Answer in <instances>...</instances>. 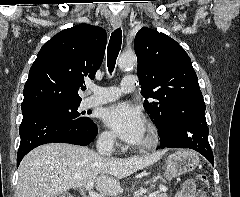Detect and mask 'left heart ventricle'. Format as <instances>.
Masks as SVG:
<instances>
[{"label":"left heart ventricle","instance_id":"1","mask_svg":"<svg viewBox=\"0 0 240 197\" xmlns=\"http://www.w3.org/2000/svg\"><path fill=\"white\" fill-rule=\"evenodd\" d=\"M145 139H146V131H145L143 137L141 138V140L138 143L143 142Z\"/></svg>","mask_w":240,"mask_h":197}]
</instances>
